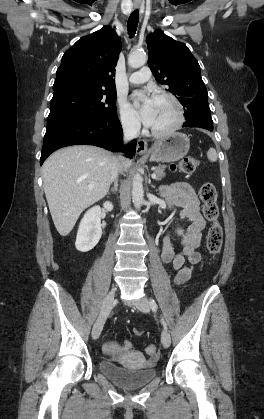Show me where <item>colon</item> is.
<instances>
[{
  "instance_id": "5ec220e1",
  "label": "colon",
  "mask_w": 264,
  "mask_h": 419,
  "mask_svg": "<svg viewBox=\"0 0 264 419\" xmlns=\"http://www.w3.org/2000/svg\"><path fill=\"white\" fill-rule=\"evenodd\" d=\"M198 167V160L194 157H185L178 163L173 164L171 169L183 174H192ZM200 199L203 203L202 211L204 217L211 223L206 235V248L209 254L215 258L222 247L223 230L218 222L217 191L212 183H204L199 191ZM146 354L155 358L157 349L154 345H149L145 349Z\"/></svg>"
}]
</instances>
